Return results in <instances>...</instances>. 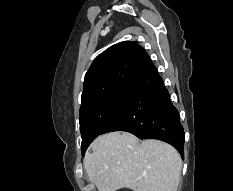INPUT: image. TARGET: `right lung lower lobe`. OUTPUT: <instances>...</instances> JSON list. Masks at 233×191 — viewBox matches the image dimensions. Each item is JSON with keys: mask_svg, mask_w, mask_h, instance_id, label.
Returning <instances> with one entry per match:
<instances>
[{"mask_svg": "<svg viewBox=\"0 0 233 191\" xmlns=\"http://www.w3.org/2000/svg\"><path fill=\"white\" fill-rule=\"evenodd\" d=\"M125 107L101 131H127L140 139H159L184 156V130L168 90L150 61L128 90Z\"/></svg>", "mask_w": 233, "mask_h": 191, "instance_id": "right-lung-lower-lobe-1", "label": "right lung lower lobe"}]
</instances>
